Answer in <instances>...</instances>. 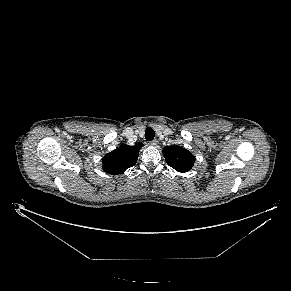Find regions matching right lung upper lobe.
I'll return each instance as SVG.
<instances>
[{"mask_svg": "<svg viewBox=\"0 0 291 291\" xmlns=\"http://www.w3.org/2000/svg\"><path fill=\"white\" fill-rule=\"evenodd\" d=\"M142 146V143H137L134 146L122 144L103 157V170L113 175L123 173L126 169L135 165Z\"/></svg>", "mask_w": 291, "mask_h": 291, "instance_id": "1", "label": "right lung upper lobe"}]
</instances>
